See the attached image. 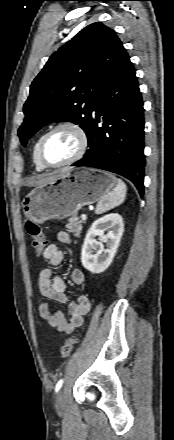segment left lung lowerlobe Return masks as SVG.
I'll return each instance as SVG.
<instances>
[{
    "label": "left lung lower lobe",
    "instance_id": "1",
    "mask_svg": "<svg viewBox=\"0 0 174 440\" xmlns=\"http://www.w3.org/2000/svg\"><path fill=\"white\" fill-rule=\"evenodd\" d=\"M143 100L135 69L124 50L92 105L88 151L72 166H89L122 175L144 193Z\"/></svg>",
    "mask_w": 174,
    "mask_h": 440
}]
</instances>
